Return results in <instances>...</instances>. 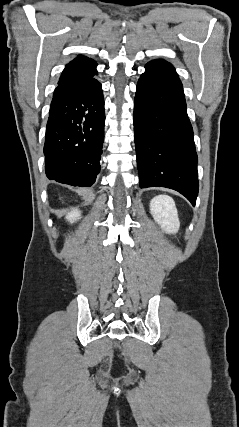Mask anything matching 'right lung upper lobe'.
<instances>
[{"label":"right lung upper lobe","mask_w":239,"mask_h":427,"mask_svg":"<svg viewBox=\"0 0 239 427\" xmlns=\"http://www.w3.org/2000/svg\"><path fill=\"white\" fill-rule=\"evenodd\" d=\"M96 65L97 63L93 59L78 55L66 66L62 72L59 82L96 72Z\"/></svg>","instance_id":"right-lung-upper-lobe-1"}]
</instances>
